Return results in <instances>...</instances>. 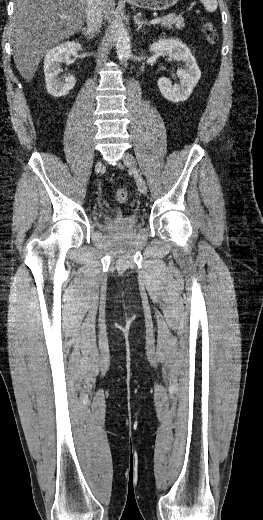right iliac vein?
Masks as SVG:
<instances>
[{
  "label": "right iliac vein",
  "mask_w": 263,
  "mask_h": 520,
  "mask_svg": "<svg viewBox=\"0 0 263 520\" xmlns=\"http://www.w3.org/2000/svg\"><path fill=\"white\" fill-rule=\"evenodd\" d=\"M102 163L98 161L95 165V172L98 174L101 171Z\"/></svg>",
  "instance_id": "1"
}]
</instances>
